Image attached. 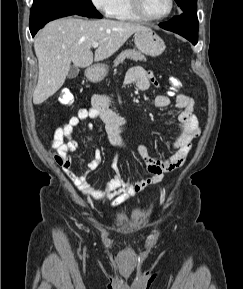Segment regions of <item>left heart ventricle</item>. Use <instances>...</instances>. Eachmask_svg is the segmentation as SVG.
Instances as JSON below:
<instances>
[{"mask_svg": "<svg viewBox=\"0 0 243 289\" xmlns=\"http://www.w3.org/2000/svg\"><path fill=\"white\" fill-rule=\"evenodd\" d=\"M144 11L149 16H160L169 9V0H142Z\"/></svg>", "mask_w": 243, "mask_h": 289, "instance_id": "1", "label": "left heart ventricle"}]
</instances>
